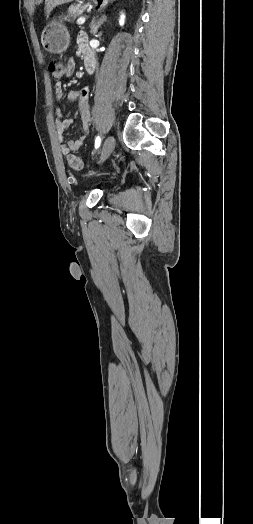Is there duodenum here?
Wrapping results in <instances>:
<instances>
[{
	"instance_id": "1",
	"label": "duodenum",
	"mask_w": 253,
	"mask_h": 524,
	"mask_svg": "<svg viewBox=\"0 0 253 524\" xmlns=\"http://www.w3.org/2000/svg\"><path fill=\"white\" fill-rule=\"evenodd\" d=\"M85 67H86L87 71L90 72V73H92L94 71V66L91 65L90 63H86Z\"/></svg>"
}]
</instances>
